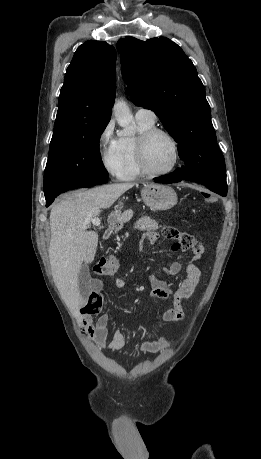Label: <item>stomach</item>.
I'll return each mask as SVG.
<instances>
[{"mask_svg": "<svg viewBox=\"0 0 261 459\" xmlns=\"http://www.w3.org/2000/svg\"><path fill=\"white\" fill-rule=\"evenodd\" d=\"M141 197L146 206L152 211H165L177 204V194L168 185L145 184Z\"/></svg>", "mask_w": 261, "mask_h": 459, "instance_id": "0dacf381", "label": "stomach"}]
</instances>
